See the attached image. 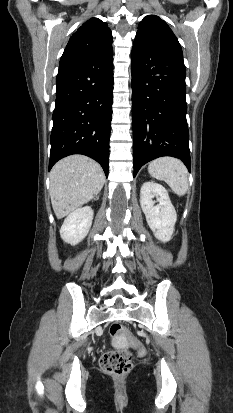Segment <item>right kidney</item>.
Listing matches in <instances>:
<instances>
[{"instance_id":"obj_1","label":"right kidney","mask_w":233,"mask_h":413,"mask_svg":"<svg viewBox=\"0 0 233 413\" xmlns=\"http://www.w3.org/2000/svg\"><path fill=\"white\" fill-rule=\"evenodd\" d=\"M93 210L90 206L78 208L64 220L60 235L64 242L76 245L88 234L93 220Z\"/></svg>"}]
</instances>
